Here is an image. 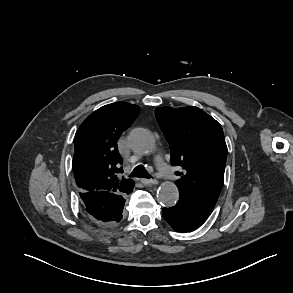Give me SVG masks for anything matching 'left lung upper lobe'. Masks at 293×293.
Returning a JSON list of instances; mask_svg holds the SVG:
<instances>
[{"mask_svg": "<svg viewBox=\"0 0 293 293\" xmlns=\"http://www.w3.org/2000/svg\"><path fill=\"white\" fill-rule=\"evenodd\" d=\"M158 124L169 143L176 172L179 198L213 211L220 195L227 146L221 125L197 107H160Z\"/></svg>", "mask_w": 293, "mask_h": 293, "instance_id": "1", "label": "left lung upper lobe"}]
</instances>
